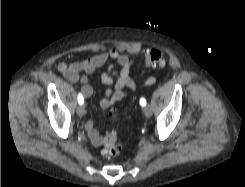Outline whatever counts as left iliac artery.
<instances>
[{
  "mask_svg": "<svg viewBox=\"0 0 245 187\" xmlns=\"http://www.w3.org/2000/svg\"><path fill=\"white\" fill-rule=\"evenodd\" d=\"M140 105L145 106L146 105V100L144 98L140 99Z\"/></svg>",
  "mask_w": 245,
  "mask_h": 187,
  "instance_id": "obj_1",
  "label": "left iliac artery"
}]
</instances>
